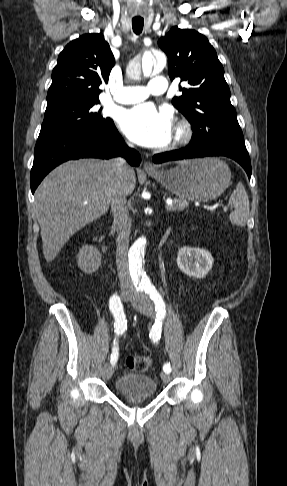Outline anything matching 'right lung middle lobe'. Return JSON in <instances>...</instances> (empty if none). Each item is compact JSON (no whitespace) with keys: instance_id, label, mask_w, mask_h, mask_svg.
<instances>
[{"instance_id":"1","label":"right lung middle lobe","mask_w":287,"mask_h":486,"mask_svg":"<svg viewBox=\"0 0 287 486\" xmlns=\"http://www.w3.org/2000/svg\"><path fill=\"white\" fill-rule=\"evenodd\" d=\"M99 99L71 101L47 107L38 138L91 133L111 122L96 110Z\"/></svg>"}]
</instances>
